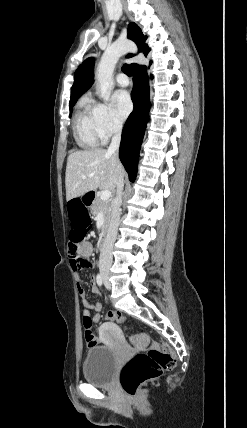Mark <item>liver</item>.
I'll return each mask as SVG.
<instances>
[{
  "label": "liver",
  "instance_id": "liver-1",
  "mask_svg": "<svg viewBox=\"0 0 247 428\" xmlns=\"http://www.w3.org/2000/svg\"><path fill=\"white\" fill-rule=\"evenodd\" d=\"M83 176L86 179H83ZM124 168L119 159L104 149L81 150L71 153L66 166V199L70 201L96 190L113 191Z\"/></svg>",
  "mask_w": 247,
  "mask_h": 428
}]
</instances>
